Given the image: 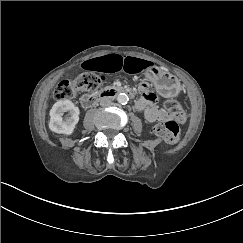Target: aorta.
I'll use <instances>...</instances> for the list:
<instances>
[{"label":"aorta","instance_id":"1","mask_svg":"<svg viewBox=\"0 0 243 243\" xmlns=\"http://www.w3.org/2000/svg\"><path fill=\"white\" fill-rule=\"evenodd\" d=\"M116 100L120 104H125L128 101V96L125 93H119L116 97Z\"/></svg>","mask_w":243,"mask_h":243}]
</instances>
